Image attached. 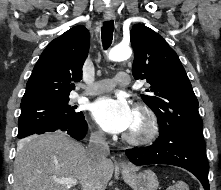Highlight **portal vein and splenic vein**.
<instances>
[{"label": "portal vein and splenic vein", "instance_id": "obj_1", "mask_svg": "<svg viewBox=\"0 0 221 190\" xmlns=\"http://www.w3.org/2000/svg\"><path fill=\"white\" fill-rule=\"evenodd\" d=\"M55 181L60 184H65L69 188L78 184V181L74 178L56 179Z\"/></svg>", "mask_w": 221, "mask_h": 190}]
</instances>
